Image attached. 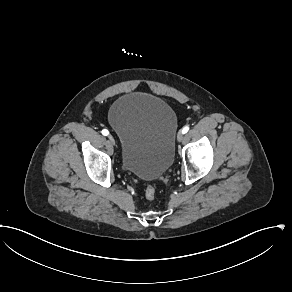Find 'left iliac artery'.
Returning a JSON list of instances; mask_svg holds the SVG:
<instances>
[{"instance_id":"44dca946","label":"left iliac artery","mask_w":292,"mask_h":292,"mask_svg":"<svg viewBox=\"0 0 292 292\" xmlns=\"http://www.w3.org/2000/svg\"><path fill=\"white\" fill-rule=\"evenodd\" d=\"M189 130V126H185L183 129H182V133L185 134L187 133Z\"/></svg>"}]
</instances>
